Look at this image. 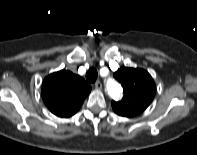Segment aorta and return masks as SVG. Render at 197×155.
Segmentation results:
<instances>
[{
	"mask_svg": "<svg viewBox=\"0 0 197 155\" xmlns=\"http://www.w3.org/2000/svg\"><path fill=\"white\" fill-rule=\"evenodd\" d=\"M107 90L110 95L118 97L121 91V87L113 79L107 80Z\"/></svg>",
	"mask_w": 197,
	"mask_h": 155,
	"instance_id": "aorta-1",
	"label": "aorta"
}]
</instances>
